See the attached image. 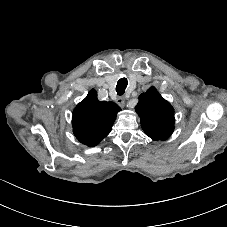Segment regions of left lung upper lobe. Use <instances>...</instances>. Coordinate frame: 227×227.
<instances>
[{"label": "left lung upper lobe", "instance_id": "1", "mask_svg": "<svg viewBox=\"0 0 227 227\" xmlns=\"http://www.w3.org/2000/svg\"><path fill=\"white\" fill-rule=\"evenodd\" d=\"M144 132L153 140H166L174 131V109L156 90L150 87L139 96L135 106Z\"/></svg>", "mask_w": 227, "mask_h": 227}]
</instances>
